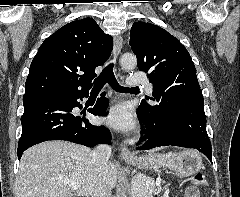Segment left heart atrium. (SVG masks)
I'll list each match as a JSON object with an SVG mask.
<instances>
[{
    "mask_svg": "<svg viewBox=\"0 0 240 197\" xmlns=\"http://www.w3.org/2000/svg\"><path fill=\"white\" fill-rule=\"evenodd\" d=\"M104 121L108 126L120 131H130L135 127L132 110L125 103L112 107Z\"/></svg>",
    "mask_w": 240,
    "mask_h": 197,
    "instance_id": "1",
    "label": "left heart atrium"
}]
</instances>
